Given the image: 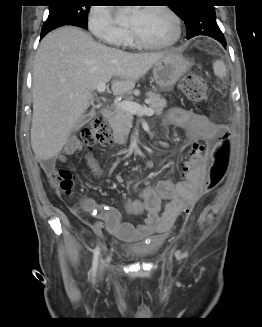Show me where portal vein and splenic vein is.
Wrapping results in <instances>:
<instances>
[{
	"label": "portal vein and splenic vein",
	"mask_w": 262,
	"mask_h": 327,
	"mask_svg": "<svg viewBox=\"0 0 262 327\" xmlns=\"http://www.w3.org/2000/svg\"><path fill=\"white\" fill-rule=\"evenodd\" d=\"M98 93H104L106 90V83H99L96 87ZM117 107L121 108L131 114L137 115H148L152 116L154 114L153 109L147 108L146 106H141L140 104L133 101H121L117 103Z\"/></svg>",
	"instance_id": "18ae733b"
}]
</instances>
